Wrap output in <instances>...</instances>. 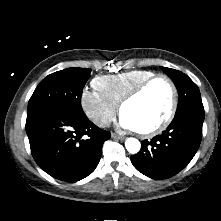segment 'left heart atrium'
<instances>
[{
  "instance_id": "obj_1",
  "label": "left heart atrium",
  "mask_w": 221,
  "mask_h": 221,
  "mask_svg": "<svg viewBox=\"0 0 221 221\" xmlns=\"http://www.w3.org/2000/svg\"><path fill=\"white\" fill-rule=\"evenodd\" d=\"M120 126L124 129L128 130H136L133 122L125 115L121 114L120 120H119Z\"/></svg>"
}]
</instances>
